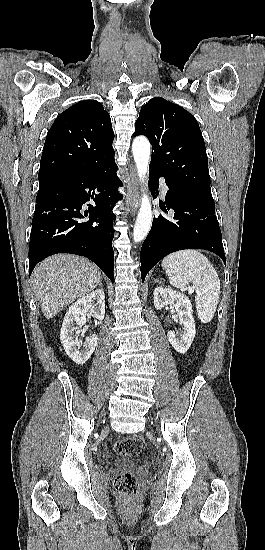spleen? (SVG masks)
Masks as SVG:
<instances>
[{
	"mask_svg": "<svg viewBox=\"0 0 265 550\" xmlns=\"http://www.w3.org/2000/svg\"><path fill=\"white\" fill-rule=\"evenodd\" d=\"M162 267L172 286L183 289L193 283L198 317L209 323L219 302L220 279L207 257L197 250L186 249L165 257Z\"/></svg>",
	"mask_w": 265,
	"mask_h": 550,
	"instance_id": "1",
	"label": "spleen"
}]
</instances>
